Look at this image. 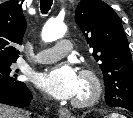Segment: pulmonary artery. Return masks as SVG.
<instances>
[{
  "instance_id": "1",
  "label": "pulmonary artery",
  "mask_w": 133,
  "mask_h": 118,
  "mask_svg": "<svg viewBox=\"0 0 133 118\" xmlns=\"http://www.w3.org/2000/svg\"><path fill=\"white\" fill-rule=\"evenodd\" d=\"M72 44L67 39H61L50 48L38 52L36 62L51 63L64 58L71 50Z\"/></svg>"
}]
</instances>
